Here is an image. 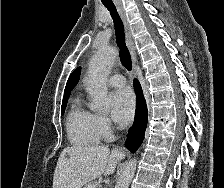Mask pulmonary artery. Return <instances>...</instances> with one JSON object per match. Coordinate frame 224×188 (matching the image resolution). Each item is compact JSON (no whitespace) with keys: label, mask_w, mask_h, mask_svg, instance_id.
Returning a JSON list of instances; mask_svg holds the SVG:
<instances>
[{"label":"pulmonary artery","mask_w":224,"mask_h":188,"mask_svg":"<svg viewBox=\"0 0 224 188\" xmlns=\"http://www.w3.org/2000/svg\"><path fill=\"white\" fill-rule=\"evenodd\" d=\"M108 83L112 87H123L126 84V79L121 74H115L108 79Z\"/></svg>","instance_id":"obj_1"}]
</instances>
